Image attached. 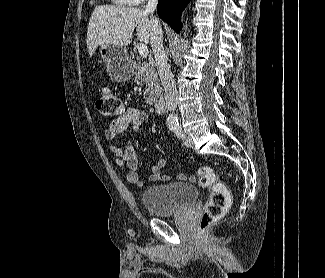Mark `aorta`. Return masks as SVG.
Segmentation results:
<instances>
[{
  "label": "aorta",
  "mask_w": 325,
  "mask_h": 278,
  "mask_svg": "<svg viewBox=\"0 0 325 278\" xmlns=\"http://www.w3.org/2000/svg\"><path fill=\"white\" fill-rule=\"evenodd\" d=\"M175 119H176V117L173 116V114H170L169 117H168V120H175Z\"/></svg>",
  "instance_id": "762f6f07"
}]
</instances>
